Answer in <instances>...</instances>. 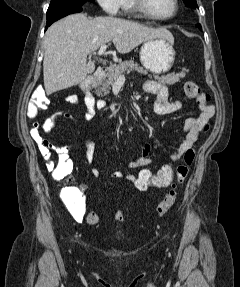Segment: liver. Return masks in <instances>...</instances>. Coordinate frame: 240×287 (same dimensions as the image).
Wrapping results in <instances>:
<instances>
[{
	"instance_id": "1",
	"label": "liver",
	"mask_w": 240,
	"mask_h": 287,
	"mask_svg": "<svg viewBox=\"0 0 240 287\" xmlns=\"http://www.w3.org/2000/svg\"><path fill=\"white\" fill-rule=\"evenodd\" d=\"M170 38L166 28L138 22L73 14L54 23L44 37L43 77L47 95L81 83L88 74L87 55L113 41L121 54L132 51L149 39Z\"/></svg>"
}]
</instances>
